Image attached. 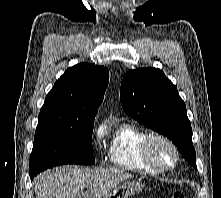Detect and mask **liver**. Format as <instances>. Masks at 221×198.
Returning a JSON list of instances; mask_svg holds the SVG:
<instances>
[{"instance_id":"liver-1","label":"liver","mask_w":221,"mask_h":198,"mask_svg":"<svg viewBox=\"0 0 221 198\" xmlns=\"http://www.w3.org/2000/svg\"><path fill=\"white\" fill-rule=\"evenodd\" d=\"M132 175L121 169H77L67 166L45 171L35 180L36 198H103ZM87 190L83 192V189Z\"/></svg>"}]
</instances>
